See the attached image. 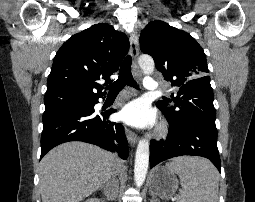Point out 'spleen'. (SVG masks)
Returning <instances> with one entry per match:
<instances>
[{"label": "spleen", "instance_id": "3e777b00", "mask_svg": "<svg viewBox=\"0 0 255 202\" xmlns=\"http://www.w3.org/2000/svg\"><path fill=\"white\" fill-rule=\"evenodd\" d=\"M166 168L180 178L183 193L178 202H218L219 173L207 159L180 157Z\"/></svg>", "mask_w": 255, "mask_h": 202}]
</instances>
